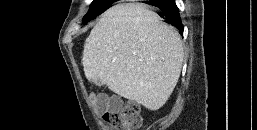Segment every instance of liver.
<instances>
[{
    "label": "liver",
    "mask_w": 257,
    "mask_h": 130,
    "mask_svg": "<svg viewBox=\"0 0 257 130\" xmlns=\"http://www.w3.org/2000/svg\"><path fill=\"white\" fill-rule=\"evenodd\" d=\"M184 52L179 33L161 22L142 3H122L108 9L93 27L83 50L85 76L158 110L172 94Z\"/></svg>",
    "instance_id": "liver-1"
}]
</instances>
